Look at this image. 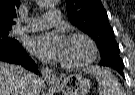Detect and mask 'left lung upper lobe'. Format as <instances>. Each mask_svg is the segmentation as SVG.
<instances>
[{
	"label": "left lung upper lobe",
	"mask_w": 135,
	"mask_h": 95,
	"mask_svg": "<svg viewBox=\"0 0 135 95\" xmlns=\"http://www.w3.org/2000/svg\"><path fill=\"white\" fill-rule=\"evenodd\" d=\"M73 25L88 34L100 49L102 60L122 61L106 10L101 0H65Z\"/></svg>",
	"instance_id": "left-lung-upper-lobe-1"
}]
</instances>
